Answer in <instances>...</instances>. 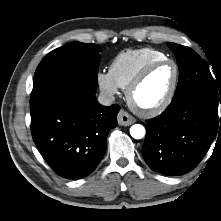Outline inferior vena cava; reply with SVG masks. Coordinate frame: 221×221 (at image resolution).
Here are the masks:
<instances>
[{
    "label": "inferior vena cava",
    "instance_id": "inferior-vena-cava-1",
    "mask_svg": "<svg viewBox=\"0 0 221 221\" xmlns=\"http://www.w3.org/2000/svg\"><path fill=\"white\" fill-rule=\"evenodd\" d=\"M114 101H115V97L109 91H102L98 96V102L104 106H109Z\"/></svg>",
    "mask_w": 221,
    "mask_h": 221
}]
</instances>
